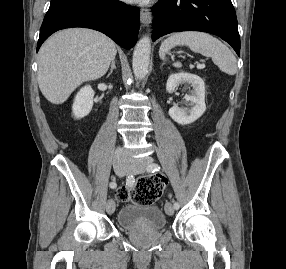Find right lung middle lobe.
Listing matches in <instances>:
<instances>
[{
  "label": "right lung middle lobe",
  "instance_id": "dd1d6c3e",
  "mask_svg": "<svg viewBox=\"0 0 286 269\" xmlns=\"http://www.w3.org/2000/svg\"><path fill=\"white\" fill-rule=\"evenodd\" d=\"M59 1H62V0H51V4L57 3Z\"/></svg>",
  "mask_w": 286,
  "mask_h": 269
}]
</instances>
